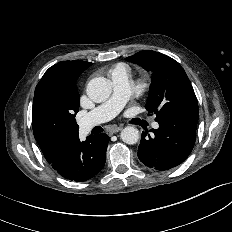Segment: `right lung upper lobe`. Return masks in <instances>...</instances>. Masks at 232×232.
Here are the masks:
<instances>
[{
	"label": "right lung upper lobe",
	"instance_id": "right-lung-upper-lobe-1",
	"mask_svg": "<svg viewBox=\"0 0 232 232\" xmlns=\"http://www.w3.org/2000/svg\"><path fill=\"white\" fill-rule=\"evenodd\" d=\"M92 63L85 61H61L56 65L50 67L41 78L40 82L37 85V88L47 84L57 89H65L68 91H77L75 85L80 74L90 67ZM78 92V91H77ZM78 136V131L72 133L61 141L51 144L44 145L39 144L46 160L52 165H56L62 155L65 145Z\"/></svg>",
	"mask_w": 232,
	"mask_h": 232
}]
</instances>
